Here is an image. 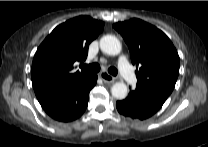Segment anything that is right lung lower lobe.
<instances>
[{
	"label": "right lung lower lobe",
	"instance_id": "right-lung-lower-lobe-1",
	"mask_svg": "<svg viewBox=\"0 0 208 147\" xmlns=\"http://www.w3.org/2000/svg\"><path fill=\"white\" fill-rule=\"evenodd\" d=\"M97 82V75H90L71 91L40 102L45 112L58 121L69 122L79 118L88 105L89 92Z\"/></svg>",
	"mask_w": 208,
	"mask_h": 147
}]
</instances>
